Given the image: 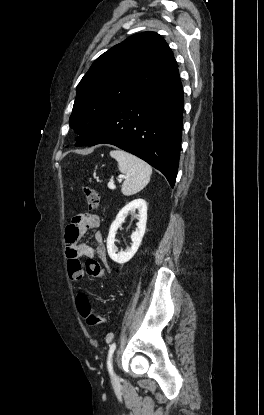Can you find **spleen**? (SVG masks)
I'll return each instance as SVG.
<instances>
[{"instance_id": "3e777b00", "label": "spleen", "mask_w": 264, "mask_h": 415, "mask_svg": "<svg viewBox=\"0 0 264 415\" xmlns=\"http://www.w3.org/2000/svg\"><path fill=\"white\" fill-rule=\"evenodd\" d=\"M110 156L118 162L120 172L127 174L121 188L125 196L136 194L149 183L152 168L145 161L122 150H113Z\"/></svg>"}]
</instances>
